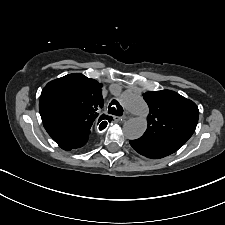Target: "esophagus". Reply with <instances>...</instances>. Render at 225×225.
Returning <instances> with one entry per match:
<instances>
[{
  "mask_svg": "<svg viewBox=\"0 0 225 225\" xmlns=\"http://www.w3.org/2000/svg\"><path fill=\"white\" fill-rule=\"evenodd\" d=\"M126 119H128V116H124V117H122V118L114 117V118H113V121H114V122H118V121H120V120H121V121H124V120H126Z\"/></svg>",
  "mask_w": 225,
  "mask_h": 225,
  "instance_id": "esophagus-1",
  "label": "esophagus"
}]
</instances>
